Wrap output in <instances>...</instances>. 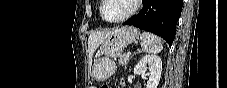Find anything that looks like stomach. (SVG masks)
<instances>
[{
    "mask_svg": "<svg viewBox=\"0 0 227 88\" xmlns=\"http://www.w3.org/2000/svg\"><path fill=\"white\" fill-rule=\"evenodd\" d=\"M139 37L138 29L131 26L118 27L102 42L103 57L94 61L92 76L97 81H104L114 71L113 59L120 57L123 50Z\"/></svg>",
    "mask_w": 227,
    "mask_h": 88,
    "instance_id": "1",
    "label": "stomach"
}]
</instances>
